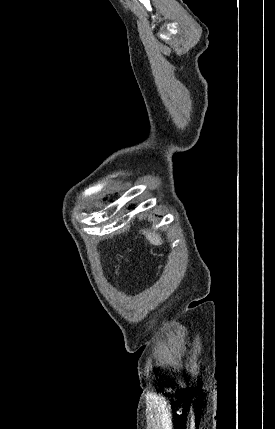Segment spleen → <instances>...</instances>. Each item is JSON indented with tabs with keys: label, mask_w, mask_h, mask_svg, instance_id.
Segmentation results:
<instances>
[{
	"label": "spleen",
	"mask_w": 275,
	"mask_h": 429,
	"mask_svg": "<svg viewBox=\"0 0 275 429\" xmlns=\"http://www.w3.org/2000/svg\"><path fill=\"white\" fill-rule=\"evenodd\" d=\"M142 234L145 235V237L147 238V240L152 244V245H161L163 243L161 237L159 236V234L155 233V232H149L148 230H141Z\"/></svg>",
	"instance_id": "1"
}]
</instances>
